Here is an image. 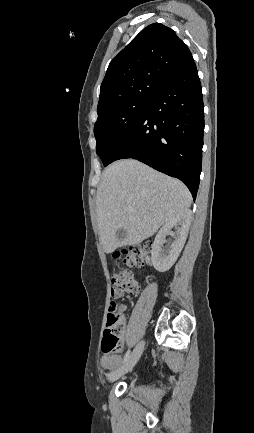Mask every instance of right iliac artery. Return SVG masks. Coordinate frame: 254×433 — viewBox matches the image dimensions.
Here are the masks:
<instances>
[{"instance_id":"1","label":"right iliac artery","mask_w":254,"mask_h":433,"mask_svg":"<svg viewBox=\"0 0 254 433\" xmlns=\"http://www.w3.org/2000/svg\"><path fill=\"white\" fill-rule=\"evenodd\" d=\"M129 356H130V350H128V351L126 352V354H125V356H124V359H123V363H125V362L127 361V359L129 358Z\"/></svg>"}]
</instances>
